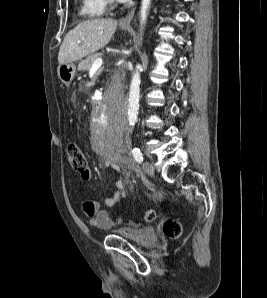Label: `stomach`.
Returning <instances> with one entry per match:
<instances>
[{
    "label": "stomach",
    "instance_id": "0dacf381",
    "mask_svg": "<svg viewBox=\"0 0 267 298\" xmlns=\"http://www.w3.org/2000/svg\"><path fill=\"white\" fill-rule=\"evenodd\" d=\"M121 29L126 30L127 27H121ZM57 73L60 80L66 85H69L76 74V65L73 62L60 64L57 68Z\"/></svg>",
    "mask_w": 267,
    "mask_h": 298
}]
</instances>
